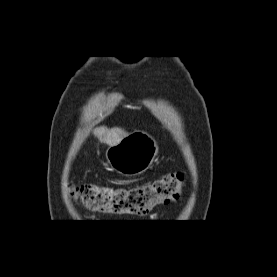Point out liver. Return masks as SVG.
<instances>
[{
  "instance_id": "obj_1",
  "label": "liver",
  "mask_w": 277,
  "mask_h": 277,
  "mask_svg": "<svg viewBox=\"0 0 277 277\" xmlns=\"http://www.w3.org/2000/svg\"><path fill=\"white\" fill-rule=\"evenodd\" d=\"M93 133L101 143H105L109 146L117 145L122 139L129 135L128 132L121 128L114 127L108 129L105 126L95 128Z\"/></svg>"
}]
</instances>
